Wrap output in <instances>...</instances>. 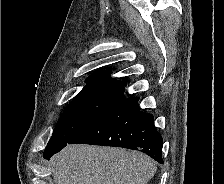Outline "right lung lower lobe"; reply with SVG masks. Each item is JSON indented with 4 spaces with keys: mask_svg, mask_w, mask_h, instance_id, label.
<instances>
[{
    "mask_svg": "<svg viewBox=\"0 0 224 184\" xmlns=\"http://www.w3.org/2000/svg\"><path fill=\"white\" fill-rule=\"evenodd\" d=\"M138 100V97L124 98L103 118L70 141L46 149L43 157L49 159L67 143H82L138 150L163 163L162 136L154 126L153 115L140 111Z\"/></svg>",
    "mask_w": 224,
    "mask_h": 184,
    "instance_id": "1",
    "label": "right lung lower lobe"
}]
</instances>
